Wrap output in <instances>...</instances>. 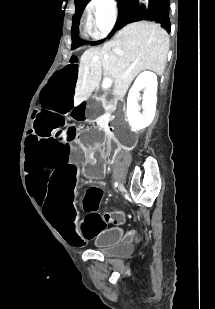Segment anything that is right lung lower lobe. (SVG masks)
<instances>
[{
	"mask_svg": "<svg viewBox=\"0 0 215 309\" xmlns=\"http://www.w3.org/2000/svg\"><path fill=\"white\" fill-rule=\"evenodd\" d=\"M149 20L159 23L167 31H170L169 0H133L118 17L116 29L124 25Z\"/></svg>",
	"mask_w": 215,
	"mask_h": 309,
	"instance_id": "obj_1",
	"label": "right lung lower lobe"
}]
</instances>
